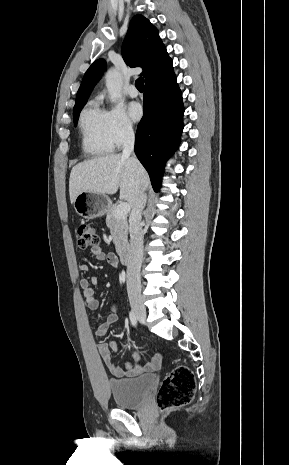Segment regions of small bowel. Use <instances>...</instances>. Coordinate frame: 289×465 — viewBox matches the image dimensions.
Instances as JSON below:
<instances>
[{
	"instance_id": "small-bowel-1",
	"label": "small bowel",
	"mask_w": 289,
	"mask_h": 465,
	"mask_svg": "<svg viewBox=\"0 0 289 465\" xmlns=\"http://www.w3.org/2000/svg\"><path fill=\"white\" fill-rule=\"evenodd\" d=\"M91 254L94 259L98 261H106L112 266L118 265V258L112 252H105L101 247H95L91 249ZM80 269L82 271H88L89 267L87 264L82 263L80 264ZM80 287L83 290L84 296L86 298L87 307L90 310H97L99 307V301L95 296V289L94 286L98 284L97 277L93 276L91 278H81L79 280ZM117 321V308L116 306L112 307L111 313L98 324L97 329L95 331V335L98 337H103L109 331L111 325H113ZM119 348V343L116 341L107 343H102L99 345V352L101 357L109 369L110 373L116 377H123L125 375L133 376L138 374L141 369H129L124 370L120 366L114 364L111 358V351H116ZM162 358L160 354L155 355L149 362L146 363L144 370L146 371H155L161 367Z\"/></svg>"
}]
</instances>
